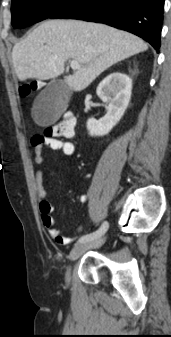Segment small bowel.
<instances>
[{
    "label": "small bowel",
    "instance_id": "small-bowel-1",
    "mask_svg": "<svg viewBox=\"0 0 171 337\" xmlns=\"http://www.w3.org/2000/svg\"><path fill=\"white\" fill-rule=\"evenodd\" d=\"M32 145L34 150V162L38 167L35 172V187L42 224L58 244L68 245L75 236L80 234L82 227H77L72 234L73 236L65 235L59 231L56 221L52 216L54 207L48 199V193L44 186V176L40 166L44 162V148L61 151L66 156H74L76 154V146L72 141L47 137L45 135L35 136ZM79 200L81 203L86 204L88 203L89 198L87 195L83 194L80 196Z\"/></svg>",
    "mask_w": 171,
    "mask_h": 337
}]
</instances>
